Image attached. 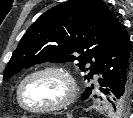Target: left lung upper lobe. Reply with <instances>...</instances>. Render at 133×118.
<instances>
[{"label": "left lung upper lobe", "mask_w": 133, "mask_h": 118, "mask_svg": "<svg viewBox=\"0 0 133 118\" xmlns=\"http://www.w3.org/2000/svg\"><path fill=\"white\" fill-rule=\"evenodd\" d=\"M121 27L102 0H69L59 4L28 28L4 70V79L35 64L78 60L77 66L87 72L85 79L90 80L102 53ZM90 94L91 89L87 88L81 98L87 99ZM104 102L110 113L124 114L131 104V95Z\"/></svg>", "instance_id": "5c2ea615"}]
</instances>
